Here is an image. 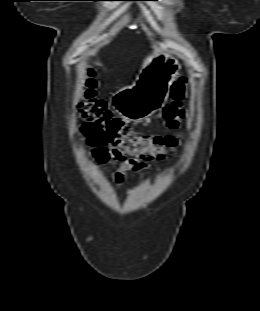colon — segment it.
Instances as JSON below:
<instances>
[{
    "mask_svg": "<svg viewBox=\"0 0 260 311\" xmlns=\"http://www.w3.org/2000/svg\"><path fill=\"white\" fill-rule=\"evenodd\" d=\"M96 73L86 71V78L80 88L77 108L84 121L82 131L93 155L99 163L107 160L106 146L112 148L111 157L122 159L126 156L142 162L163 160L178 146L177 135L152 136L137 133L129 125L114 117L106 103L95 96ZM186 81L180 79L171 90V101L163 109L166 126L179 130L185 121Z\"/></svg>",
    "mask_w": 260,
    "mask_h": 311,
    "instance_id": "1",
    "label": "colon"
}]
</instances>
